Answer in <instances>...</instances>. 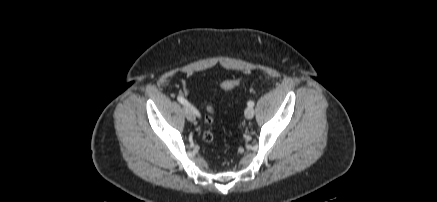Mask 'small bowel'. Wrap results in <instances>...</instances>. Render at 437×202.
Masks as SVG:
<instances>
[{
    "mask_svg": "<svg viewBox=\"0 0 437 202\" xmlns=\"http://www.w3.org/2000/svg\"><path fill=\"white\" fill-rule=\"evenodd\" d=\"M182 85H183L184 94L187 95L188 94V90H187L185 81H182Z\"/></svg>",
    "mask_w": 437,
    "mask_h": 202,
    "instance_id": "obj_1",
    "label": "small bowel"
}]
</instances>
